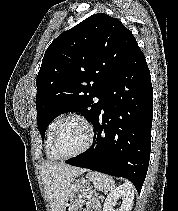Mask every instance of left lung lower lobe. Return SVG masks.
<instances>
[{
  "label": "left lung lower lobe",
  "instance_id": "left-lung-lower-lobe-1",
  "mask_svg": "<svg viewBox=\"0 0 178 211\" xmlns=\"http://www.w3.org/2000/svg\"><path fill=\"white\" fill-rule=\"evenodd\" d=\"M153 89L137 46L104 93L94 145L66 163L130 180L140 192L151 150Z\"/></svg>",
  "mask_w": 178,
  "mask_h": 211
}]
</instances>
